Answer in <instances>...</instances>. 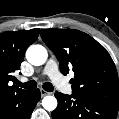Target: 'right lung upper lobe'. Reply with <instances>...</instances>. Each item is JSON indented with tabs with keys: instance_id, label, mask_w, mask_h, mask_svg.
<instances>
[{
	"instance_id": "obj_1",
	"label": "right lung upper lobe",
	"mask_w": 119,
	"mask_h": 119,
	"mask_svg": "<svg viewBox=\"0 0 119 119\" xmlns=\"http://www.w3.org/2000/svg\"><path fill=\"white\" fill-rule=\"evenodd\" d=\"M39 35V29L0 33V97L23 91L8 83L16 79L13 74L20 69L27 47Z\"/></svg>"
}]
</instances>
